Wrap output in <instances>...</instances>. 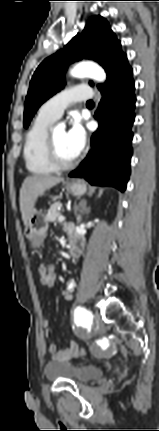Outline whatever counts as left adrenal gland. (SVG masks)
<instances>
[{
  "instance_id": "obj_1",
  "label": "left adrenal gland",
  "mask_w": 159,
  "mask_h": 431,
  "mask_svg": "<svg viewBox=\"0 0 159 431\" xmlns=\"http://www.w3.org/2000/svg\"><path fill=\"white\" fill-rule=\"evenodd\" d=\"M80 207H81V210H80V212H81V213H84L85 211H87V210L89 209V208H87V206H86V203H85V202H81V203H80ZM76 218H77V222H78V223H80V222H81V220H82L81 215H80V214H77Z\"/></svg>"
}]
</instances>
